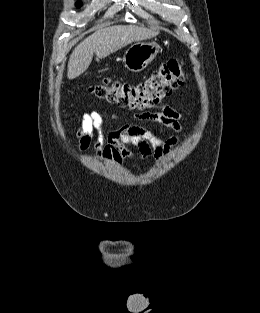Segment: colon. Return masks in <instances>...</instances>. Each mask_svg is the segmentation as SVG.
Listing matches in <instances>:
<instances>
[{
    "label": "colon",
    "mask_w": 260,
    "mask_h": 313,
    "mask_svg": "<svg viewBox=\"0 0 260 313\" xmlns=\"http://www.w3.org/2000/svg\"><path fill=\"white\" fill-rule=\"evenodd\" d=\"M186 80L187 73L182 62L171 59L140 83L129 84L104 79L91 85L89 90L95 96L121 107L145 110L157 105Z\"/></svg>",
    "instance_id": "1"
}]
</instances>
